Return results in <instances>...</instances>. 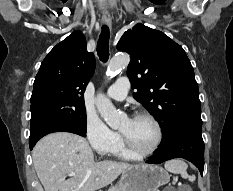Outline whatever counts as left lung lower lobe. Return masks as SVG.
<instances>
[{
    "label": "left lung lower lobe",
    "mask_w": 233,
    "mask_h": 191,
    "mask_svg": "<svg viewBox=\"0 0 233 191\" xmlns=\"http://www.w3.org/2000/svg\"><path fill=\"white\" fill-rule=\"evenodd\" d=\"M173 158H184L192 162L203 174L204 169V142L202 126L186 125L178 128L161 142L156 155L147 161L151 164H160Z\"/></svg>",
    "instance_id": "0a47b994"
}]
</instances>
